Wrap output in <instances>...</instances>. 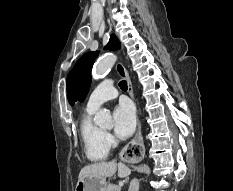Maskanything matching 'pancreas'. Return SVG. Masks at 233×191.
Returning <instances> with one entry per match:
<instances>
[{
    "mask_svg": "<svg viewBox=\"0 0 233 191\" xmlns=\"http://www.w3.org/2000/svg\"><path fill=\"white\" fill-rule=\"evenodd\" d=\"M106 191H120V187L117 185L110 184L107 186Z\"/></svg>",
    "mask_w": 233,
    "mask_h": 191,
    "instance_id": "1",
    "label": "pancreas"
}]
</instances>
